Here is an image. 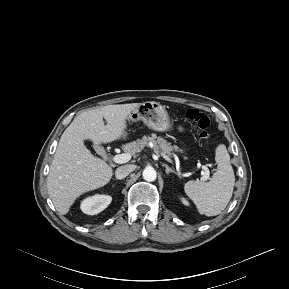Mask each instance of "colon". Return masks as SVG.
Listing matches in <instances>:
<instances>
[{
	"label": "colon",
	"instance_id": "obj_1",
	"mask_svg": "<svg viewBox=\"0 0 289 289\" xmlns=\"http://www.w3.org/2000/svg\"><path fill=\"white\" fill-rule=\"evenodd\" d=\"M186 116L189 120L193 121L197 125V127L200 129V138L207 143V140L210 136L208 132L210 119L196 109L188 110Z\"/></svg>",
	"mask_w": 289,
	"mask_h": 289
}]
</instances>
